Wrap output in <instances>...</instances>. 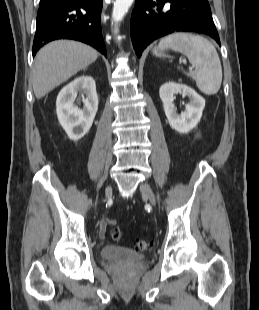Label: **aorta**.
<instances>
[{
    "instance_id": "aorta-1",
    "label": "aorta",
    "mask_w": 259,
    "mask_h": 310,
    "mask_svg": "<svg viewBox=\"0 0 259 310\" xmlns=\"http://www.w3.org/2000/svg\"><path fill=\"white\" fill-rule=\"evenodd\" d=\"M134 0H115L114 7L112 11V18L115 25L120 22L123 17L128 12ZM115 32H117V27L115 26Z\"/></svg>"
}]
</instances>
